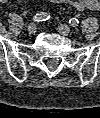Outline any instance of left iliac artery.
<instances>
[{
    "label": "left iliac artery",
    "mask_w": 100,
    "mask_h": 118,
    "mask_svg": "<svg viewBox=\"0 0 100 118\" xmlns=\"http://www.w3.org/2000/svg\"><path fill=\"white\" fill-rule=\"evenodd\" d=\"M69 24H70L72 27H76V26H78V24H79V20L76 19V18H71V19L69 20Z\"/></svg>",
    "instance_id": "44dca946"
}]
</instances>
